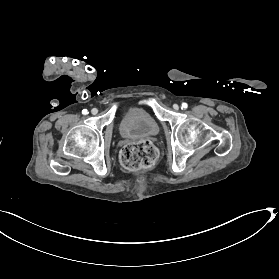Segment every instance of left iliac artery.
<instances>
[{
  "label": "left iliac artery",
  "instance_id": "44dca946",
  "mask_svg": "<svg viewBox=\"0 0 279 279\" xmlns=\"http://www.w3.org/2000/svg\"><path fill=\"white\" fill-rule=\"evenodd\" d=\"M187 106H188V105H187L186 103H183V104H182V108H187Z\"/></svg>",
  "mask_w": 279,
  "mask_h": 279
}]
</instances>
